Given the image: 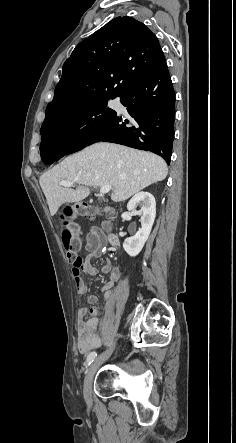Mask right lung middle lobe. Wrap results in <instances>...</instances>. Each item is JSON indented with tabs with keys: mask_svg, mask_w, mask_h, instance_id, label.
<instances>
[{
	"mask_svg": "<svg viewBox=\"0 0 236 443\" xmlns=\"http://www.w3.org/2000/svg\"><path fill=\"white\" fill-rule=\"evenodd\" d=\"M110 98L116 96H99L77 108L45 119L40 130V149L45 146H66L107 118L114 111L106 108Z\"/></svg>",
	"mask_w": 236,
	"mask_h": 443,
	"instance_id": "right-lung-middle-lobe-1",
	"label": "right lung middle lobe"
}]
</instances>
